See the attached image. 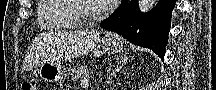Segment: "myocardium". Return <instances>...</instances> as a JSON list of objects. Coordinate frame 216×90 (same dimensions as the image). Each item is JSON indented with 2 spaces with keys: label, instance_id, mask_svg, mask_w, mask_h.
Returning a JSON list of instances; mask_svg holds the SVG:
<instances>
[{
  "label": "myocardium",
  "instance_id": "myocardium-1",
  "mask_svg": "<svg viewBox=\"0 0 216 90\" xmlns=\"http://www.w3.org/2000/svg\"><path fill=\"white\" fill-rule=\"evenodd\" d=\"M84 1L91 0H75L73 3H66V7H73L74 5V16L76 19L83 23L84 28H96V23L101 17L108 16L111 8L100 5L95 12L90 13L88 10L81 6Z\"/></svg>",
  "mask_w": 216,
  "mask_h": 90
}]
</instances>
